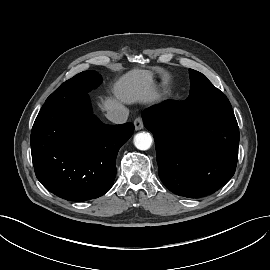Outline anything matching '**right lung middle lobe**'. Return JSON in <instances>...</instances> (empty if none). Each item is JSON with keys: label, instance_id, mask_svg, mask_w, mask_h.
Segmentation results:
<instances>
[{"label": "right lung middle lobe", "instance_id": "1", "mask_svg": "<svg viewBox=\"0 0 270 270\" xmlns=\"http://www.w3.org/2000/svg\"><path fill=\"white\" fill-rule=\"evenodd\" d=\"M101 81L102 78L96 71L81 72L64 82L47 98L44 105L61 103L72 98L87 95V93L96 88Z\"/></svg>", "mask_w": 270, "mask_h": 270}]
</instances>
